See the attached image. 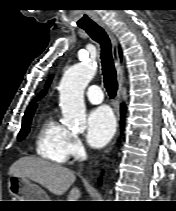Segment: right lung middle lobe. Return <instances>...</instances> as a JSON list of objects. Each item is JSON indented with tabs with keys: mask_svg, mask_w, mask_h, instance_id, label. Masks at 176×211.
<instances>
[{
	"mask_svg": "<svg viewBox=\"0 0 176 211\" xmlns=\"http://www.w3.org/2000/svg\"><path fill=\"white\" fill-rule=\"evenodd\" d=\"M32 116H33V114H28L23 117L22 128L18 134V140L24 139L26 137V135L28 134Z\"/></svg>",
	"mask_w": 176,
	"mask_h": 211,
	"instance_id": "obj_1",
	"label": "right lung middle lobe"
}]
</instances>
